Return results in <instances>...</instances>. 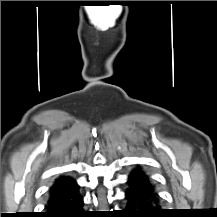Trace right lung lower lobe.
<instances>
[{
	"label": "right lung lower lobe",
	"mask_w": 217,
	"mask_h": 217,
	"mask_svg": "<svg viewBox=\"0 0 217 217\" xmlns=\"http://www.w3.org/2000/svg\"><path fill=\"white\" fill-rule=\"evenodd\" d=\"M39 217H88L83 211V198L78 192V186L58 195L50 196L46 212Z\"/></svg>",
	"instance_id": "obj_1"
}]
</instances>
